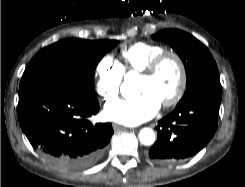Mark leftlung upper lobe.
I'll use <instances>...</instances> for the list:
<instances>
[{
  "label": "left lung upper lobe",
  "mask_w": 245,
  "mask_h": 187,
  "mask_svg": "<svg viewBox=\"0 0 245 187\" xmlns=\"http://www.w3.org/2000/svg\"><path fill=\"white\" fill-rule=\"evenodd\" d=\"M152 38L167 42L184 63L186 93L180 102L203 89L220 86L219 71L213 56L195 37L178 29H166L152 35Z\"/></svg>",
  "instance_id": "5c2ea615"
}]
</instances>
